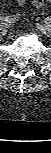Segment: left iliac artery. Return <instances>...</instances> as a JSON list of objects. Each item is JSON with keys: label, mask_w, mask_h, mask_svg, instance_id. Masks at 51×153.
<instances>
[{"label": "left iliac artery", "mask_w": 51, "mask_h": 153, "mask_svg": "<svg viewBox=\"0 0 51 153\" xmlns=\"http://www.w3.org/2000/svg\"><path fill=\"white\" fill-rule=\"evenodd\" d=\"M46 20L48 21V23H51V17H47Z\"/></svg>", "instance_id": "44dca946"}]
</instances>
